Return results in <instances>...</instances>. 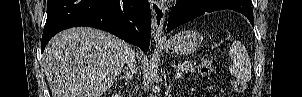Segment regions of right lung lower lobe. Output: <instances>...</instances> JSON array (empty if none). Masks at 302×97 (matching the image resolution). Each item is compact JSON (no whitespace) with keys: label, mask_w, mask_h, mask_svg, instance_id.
Instances as JSON below:
<instances>
[{"label":"right lung lower lobe","mask_w":302,"mask_h":97,"mask_svg":"<svg viewBox=\"0 0 302 97\" xmlns=\"http://www.w3.org/2000/svg\"><path fill=\"white\" fill-rule=\"evenodd\" d=\"M77 26L110 32L147 51L151 38L148 0H48L41 51L56 33Z\"/></svg>","instance_id":"obj_1"}]
</instances>
